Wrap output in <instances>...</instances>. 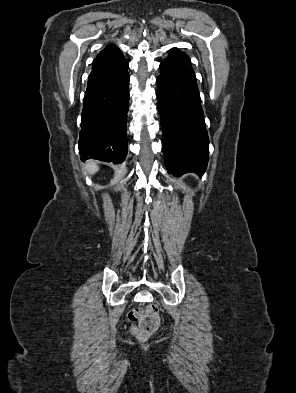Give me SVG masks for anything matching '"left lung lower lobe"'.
I'll return each instance as SVG.
<instances>
[{
  "label": "left lung lower lobe",
  "instance_id": "left-lung-lower-lobe-1",
  "mask_svg": "<svg viewBox=\"0 0 296 393\" xmlns=\"http://www.w3.org/2000/svg\"><path fill=\"white\" fill-rule=\"evenodd\" d=\"M160 68L157 97L166 167L177 176L202 175L209 159V139L190 59L172 49Z\"/></svg>",
  "mask_w": 296,
  "mask_h": 393
}]
</instances>
